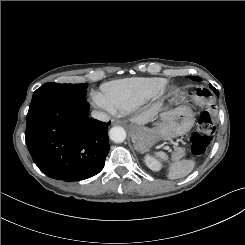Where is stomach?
<instances>
[{"label":"stomach","instance_id":"1","mask_svg":"<svg viewBox=\"0 0 245 245\" xmlns=\"http://www.w3.org/2000/svg\"><path fill=\"white\" fill-rule=\"evenodd\" d=\"M181 98L179 93L173 97V101ZM160 123L154 128L140 125L131 127V137L138 151H145L160 140H168L188 133L194 125V116L187 106H179L174 109H159Z\"/></svg>","mask_w":245,"mask_h":245}]
</instances>
